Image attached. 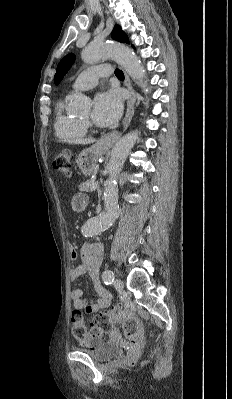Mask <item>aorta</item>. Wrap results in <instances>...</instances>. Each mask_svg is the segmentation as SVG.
I'll return each mask as SVG.
<instances>
[{"instance_id": "aorta-1", "label": "aorta", "mask_w": 232, "mask_h": 399, "mask_svg": "<svg viewBox=\"0 0 232 399\" xmlns=\"http://www.w3.org/2000/svg\"><path fill=\"white\" fill-rule=\"evenodd\" d=\"M81 58L86 64H93L106 58L114 59L128 74L138 80V85L146 89L144 81V68L139 58L129 47L109 42H93L85 47ZM75 110L85 109L89 101L82 94L72 95L69 98ZM138 131H132L123 136L113 147L108 164L109 178L105 182L104 210L97 216L87 220L82 231L85 237H92L107 230L115 221L118 211V187L117 178L122 170L123 164L135 145L138 138Z\"/></svg>"}]
</instances>
